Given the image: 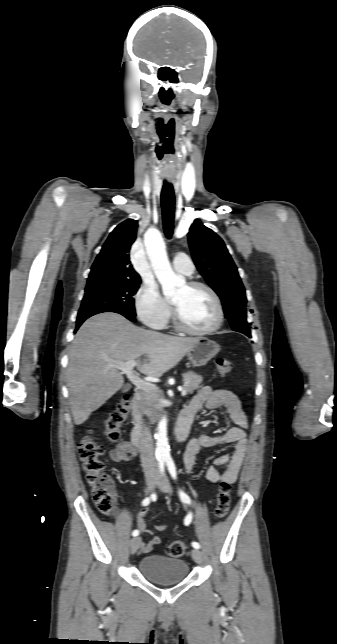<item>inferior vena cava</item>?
<instances>
[{
	"instance_id": "obj_1",
	"label": "inferior vena cava",
	"mask_w": 337,
	"mask_h": 644,
	"mask_svg": "<svg viewBox=\"0 0 337 644\" xmlns=\"http://www.w3.org/2000/svg\"><path fill=\"white\" fill-rule=\"evenodd\" d=\"M140 458L143 470L146 474H159L158 463L154 453L153 439L150 429L144 426L140 439Z\"/></svg>"
}]
</instances>
